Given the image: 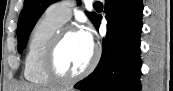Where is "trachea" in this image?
<instances>
[{
	"instance_id": "3493384b",
	"label": "trachea",
	"mask_w": 173,
	"mask_h": 91,
	"mask_svg": "<svg viewBox=\"0 0 173 91\" xmlns=\"http://www.w3.org/2000/svg\"><path fill=\"white\" fill-rule=\"evenodd\" d=\"M93 6L94 7H103L102 3L99 1L94 2Z\"/></svg>"
}]
</instances>
